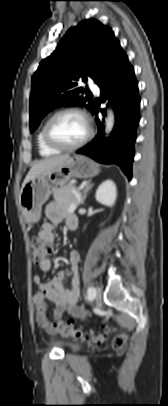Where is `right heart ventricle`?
I'll list each match as a JSON object with an SVG mask.
<instances>
[{
  "mask_svg": "<svg viewBox=\"0 0 168 406\" xmlns=\"http://www.w3.org/2000/svg\"><path fill=\"white\" fill-rule=\"evenodd\" d=\"M43 127L44 126H42L39 129V131L36 135V143H37L40 155L44 156V157H49V156L58 154L60 152V150L51 148L45 143L44 138H43Z\"/></svg>",
  "mask_w": 168,
  "mask_h": 406,
  "instance_id": "obj_1",
  "label": "right heart ventricle"
}]
</instances>
